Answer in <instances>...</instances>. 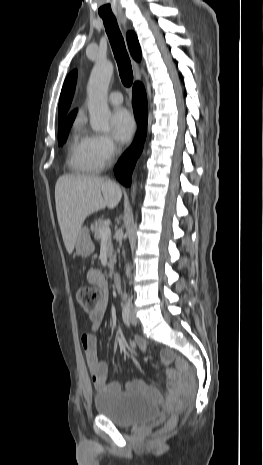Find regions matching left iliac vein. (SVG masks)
<instances>
[{"mask_svg": "<svg viewBox=\"0 0 263 465\" xmlns=\"http://www.w3.org/2000/svg\"><path fill=\"white\" fill-rule=\"evenodd\" d=\"M131 322L133 325H136L137 324V318L135 316V313L133 310H131Z\"/></svg>", "mask_w": 263, "mask_h": 465, "instance_id": "obj_1", "label": "left iliac vein"}]
</instances>
